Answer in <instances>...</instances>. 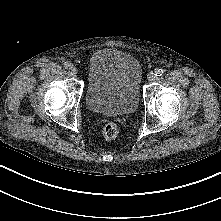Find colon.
Listing matches in <instances>:
<instances>
[{
    "label": "colon",
    "instance_id": "1",
    "mask_svg": "<svg viewBox=\"0 0 221 221\" xmlns=\"http://www.w3.org/2000/svg\"><path fill=\"white\" fill-rule=\"evenodd\" d=\"M102 133L106 139L112 140L118 136L119 128L115 123L109 122L104 125V127L102 129Z\"/></svg>",
    "mask_w": 221,
    "mask_h": 221
}]
</instances>
